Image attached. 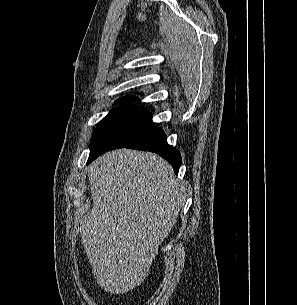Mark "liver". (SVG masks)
<instances>
[{"mask_svg":"<svg viewBox=\"0 0 297 305\" xmlns=\"http://www.w3.org/2000/svg\"><path fill=\"white\" fill-rule=\"evenodd\" d=\"M92 209L80 235L97 284L124 294L146 278L172 230L184 190L172 166L151 152L119 149L89 167Z\"/></svg>","mask_w":297,"mask_h":305,"instance_id":"obj_1","label":"liver"}]
</instances>
